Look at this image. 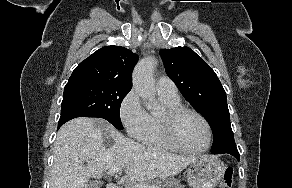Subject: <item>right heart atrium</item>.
Instances as JSON below:
<instances>
[{
  "label": "right heart atrium",
  "instance_id": "obj_1",
  "mask_svg": "<svg viewBox=\"0 0 292 188\" xmlns=\"http://www.w3.org/2000/svg\"><path fill=\"white\" fill-rule=\"evenodd\" d=\"M119 118L132 138L139 139L147 125L148 113L144 109L137 92L130 90L119 105Z\"/></svg>",
  "mask_w": 292,
  "mask_h": 188
}]
</instances>
